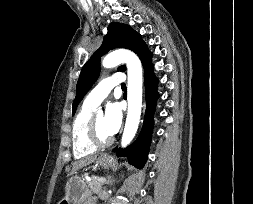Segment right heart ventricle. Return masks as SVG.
Here are the masks:
<instances>
[{
	"instance_id": "e07e8e85",
	"label": "right heart ventricle",
	"mask_w": 253,
	"mask_h": 204,
	"mask_svg": "<svg viewBox=\"0 0 253 204\" xmlns=\"http://www.w3.org/2000/svg\"><path fill=\"white\" fill-rule=\"evenodd\" d=\"M95 108L83 104L72 126V147L75 158H84L97 151V147L90 141L88 126Z\"/></svg>"
}]
</instances>
